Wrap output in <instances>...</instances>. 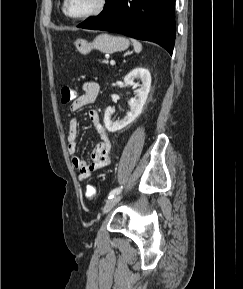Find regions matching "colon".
<instances>
[{
    "label": "colon",
    "instance_id": "1",
    "mask_svg": "<svg viewBox=\"0 0 243 289\" xmlns=\"http://www.w3.org/2000/svg\"><path fill=\"white\" fill-rule=\"evenodd\" d=\"M76 97L75 90L70 86H64L61 89V100L62 103L67 104L73 101ZM85 196L87 199L92 200L96 196V189L92 185H87L85 189Z\"/></svg>",
    "mask_w": 243,
    "mask_h": 289
}]
</instances>
